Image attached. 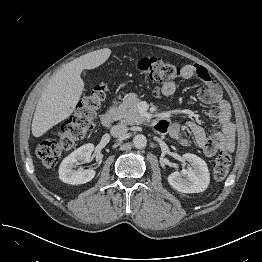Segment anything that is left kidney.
<instances>
[{"label": "left kidney", "instance_id": "5707ae66", "mask_svg": "<svg viewBox=\"0 0 262 262\" xmlns=\"http://www.w3.org/2000/svg\"><path fill=\"white\" fill-rule=\"evenodd\" d=\"M182 161L188 162L189 166L180 173L174 172L170 174L168 176L169 184L181 193H200L205 191L210 182V174L206 162L191 153L183 154Z\"/></svg>", "mask_w": 262, "mask_h": 262}]
</instances>
